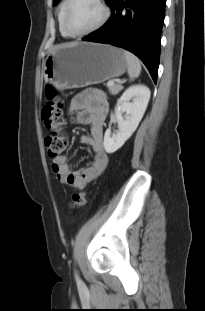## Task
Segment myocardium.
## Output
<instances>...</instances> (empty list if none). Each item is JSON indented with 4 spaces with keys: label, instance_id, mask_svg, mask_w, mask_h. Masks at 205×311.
I'll return each mask as SVG.
<instances>
[{
    "label": "myocardium",
    "instance_id": "f54148a6",
    "mask_svg": "<svg viewBox=\"0 0 205 311\" xmlns=\"http://www.w3.org/2000/svg\"><path fill=\"white\" fill-rule=\"evenodd\" d=\"M94 1L102 9L101 19L98 21L96 25H94L92 28L86 31L73 32L68 26V13H69V9H70V6L73 0H66L65 6H64V13H63V27H64L65 32L68 34V36L74 37V38L87 36L101 29L108 22L110 15H111V10L106 0H94Z\"/></svg>",
    "mask_w": 205,
    "mask_h": 311
}]
</instances>
